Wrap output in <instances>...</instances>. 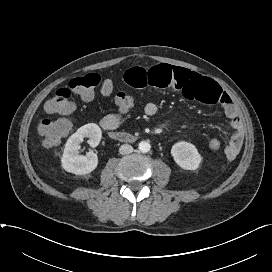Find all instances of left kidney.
Returning a JSON list of instances; mask_svg holds the SVG:
<instances>
[{"label":"left kidney","instance_id":"5707ae66","mask_svg":"<svg viewBox=\"0 0 272 272\" xmlns=\"http://www.w3.org/2000/svg\"><path fill=\"white\" fill-rule=\"evenodd\" d=\"M171 155L177 165L185 170H196L202 161L197 148L185 141L174 144L171 149Z\"/></svg>","mask_w":272,"mask_h":272}]
</instances>
